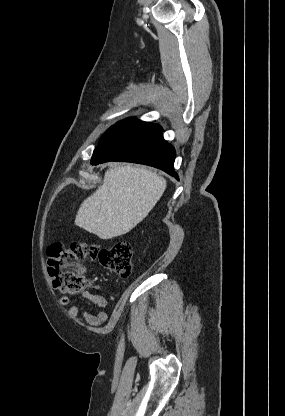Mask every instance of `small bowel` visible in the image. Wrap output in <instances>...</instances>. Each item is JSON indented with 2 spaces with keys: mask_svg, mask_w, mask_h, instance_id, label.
<instances>
[{
  "mask_svg": "<svg viewBox=\"0 0 285 416\" xmlns=\"http://www.w3.org/2000/svg\"><path fill=\"white\" fill-rule=\"evenodd\" d=\"M81 296L101 309H105L109 305L108 300L104 296L92 293L86 289L81 291ZM69 303L70 299L68 296H64L60 299L61 305H68ZM66 311L70 317L78 320L81 323H87L93 327L101 326L106 322L108 318L104 311L101 310L96 314H92L81 304L72 305L68 307Z\"/></svg>",
  "mask_w": 285,
  "mask_h": 416,
  "instance_id": "1",
  "label": "small bowel"
}]
</instances>
